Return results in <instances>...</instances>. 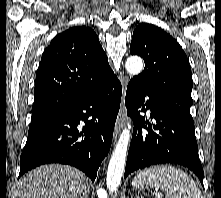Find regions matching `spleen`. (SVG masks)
Wrapping results in <instances>:
<instances>
[{"mask_svg": "<svg viewBox=\"0 0 221 198\" xmlns=\"http://www.w3.org/2000/svg\"><path fill=\"white\" fill-rule=\"evenodd\" d=\"M135 188L150 186L160 188L166 198H203L194 180L181 169L171 165L152 166L139 172L133 179ZM162 198V193H155Z\"/></svg>", "mask_w": 221, "mask_h": 198, "instance_id": "3e777b00", "label": "spleen"}]
</instances>
